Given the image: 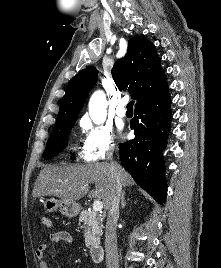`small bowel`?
<instances>
[{"label": "small bowel", "mask_w": 221, "mask_h": 268, "mask_svg": "<svg viewBox=\"0 0 221 268\" xmlns=\"http://www.w3.org/2000/svg\"><path fill=\"white\" fill-rule=\"evenodd\" d=\"M50 241L52 243H58V242L71 243L73 242V237L70 233L66 231H58V232H53L50 235ZM48 249H49V244H41L36 249L35 254H36V258L39 261V268H50L49 262L45 259V254Z\"/></svg>", "instance_id": "small-bowel-1"}]
</instances>
